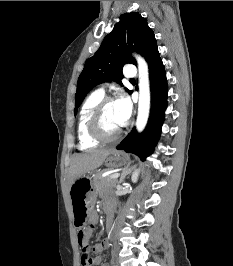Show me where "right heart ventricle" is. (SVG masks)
<instances>
[{"mask_svg":"<svg viewBox=\"0 0 233 266\" xmlns=\"http://www.w3.org/2000/svg\"><path fill=\"white\" fill-rule=\"evenodd\" d=\"M104 97V92L95 90L84 100L78 117L77 135L81 149H90L96 147L99 142L94 140L88 132V123L91 113L97 103Z\"/></svg>","mask_w":233,"mask_h":266,"instance_id":"right-heart-ventricle-1","label":"right heart ventricle"}]
</instances>
